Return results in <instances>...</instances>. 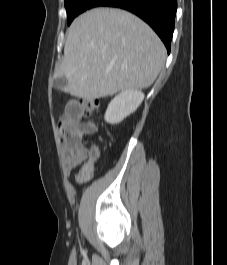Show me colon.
Segmentation results:
<instances>
[{"label": "colon", "instance_id": "obj_1", "mask_svg": "<svg viewBox=\"0 0 227 265\" xmlns=\"http://www.w3.org/2000/svg\"><path fill=\"white\" fill-rule=\"evenodd\" d=\"M80 105H82V112L85 115H89L98 109L99 100L96 98L85 99V100L80 101ZM66 126H67L66 121L64 120L59 121L58 134H59L61 142L63 141L64 135H65Z\"/></svg>", "mask_w": 227, "mask_h": 265}]
</instances>
